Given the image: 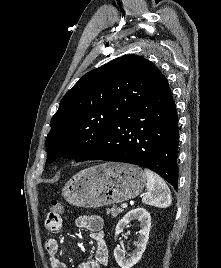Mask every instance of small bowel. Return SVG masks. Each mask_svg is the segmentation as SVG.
<instances>
[{"label": "small bowel", "instance_id": "c3829d8e", "mask_svg": "<svg viewBox=\"0 0 221 268\" xmlns=\"http://www.w3.org/2000/svg\"><path fill=\"white\" fill-rule=\"evenodd\" d=\"M76 226L89 231L90 237L96 242L94 258L82 262L78 268H104L107 265L109 252L103 231V219L98 215H84L76 219ZM45 227L49 232H58L63 227L59 215L49 213L45 220ZM49 254L51 268H68L59 258L60 244L54 238H49L45 244Z\"/></svg>", "mask_w": 221, "mask_h": 268}]
</instances>
